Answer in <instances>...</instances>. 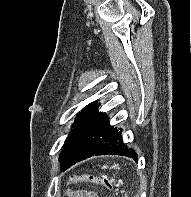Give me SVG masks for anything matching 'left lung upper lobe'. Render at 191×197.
Returning <instances> with one entry per match:
<instances>
[{"label":"left lung upper lobe","instance_id":"left-lung-upper-lobe-1","mask_svg":"<svg viewBox=\"0 0 191 197\" xmlns=\"http://www.w3.org/2000/svg\"><path fill=\"white\" fill-rule=\"evenodd\" d=\"M69 138L67 137L66 141H65V144L63 146V149L61 151V154H60V160L61 161H64L65 159L69 158L71 153H72V146L70 144V141L68 140Z\"/></svg>","mask_w":191,"mask_h":197}]
</instances>
